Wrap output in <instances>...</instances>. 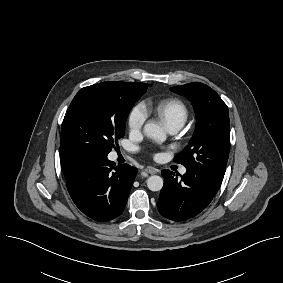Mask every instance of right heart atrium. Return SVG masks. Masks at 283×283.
<instances>
[{"mask_svg": "<svg viewBox=\"0 0 283 283\" xmlns=\"http://www.w3.org/2000/svg\"><path fill=\"white\" fill-rule=\"evenodd\" d=\"M147 118V113L144 105H135L128 116V128L131 134H137L141 131Z\"/></svg>", "mask_w": 283, "mask_h": 283, "instance_id": "right-heart-atrium-1", "label": "right heart atrium"}]
</instances>
